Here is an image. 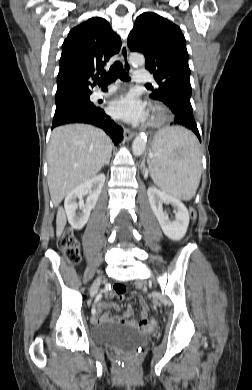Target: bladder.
Listing matches in <instances>:
<instances>
[{
  "mask_svg": "<svg viewBox=\"0 0 252 390\" xmlns=\"http://www.w3.org/2000/svg\"><path fill=\"white\" fill-rule=\"evenodd\" d=\"M91 339L98 345L112 348L133 349L145 343L148 337L127 325L105 322L93 324Z\"/></svg>",
  "mask_w": 252,
  "mask_h": 390,
  "instance_id": "obj_1",
  "label": "bladder"
}]
</instances>
